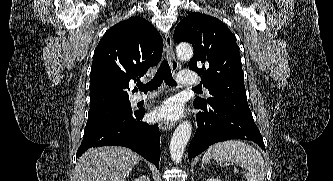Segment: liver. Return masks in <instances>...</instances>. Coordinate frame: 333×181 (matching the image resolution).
<instances>
[{"instance_id": "liver-1", "label": "liver", "mask_w": 333, "mask_h": 181, "mask_svg": "<svg viewBox=\"0 0 333 181\" xmlns=\"http://www.w3.org/2000/svg\"><path fill=\"white\" fill-rule=\"evenodd\" d=\"M141 156L121 146L92 148L75 167V181H125Z\"/></svg>"}]
</instances>
